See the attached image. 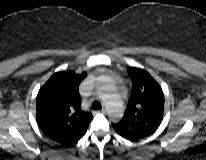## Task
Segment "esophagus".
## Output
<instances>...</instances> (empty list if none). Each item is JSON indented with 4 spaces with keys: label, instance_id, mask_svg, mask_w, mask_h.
I'll return each mask as SVG.
<instances>
[{
    "label": "esophagus",
    "instance_id": "34e87169",
    "mask_svg": "<svg viewBox=\"0 0 206 160\" xmlns=\"http://www.w3.org/2000/svg\"><path fill=\"white\" fill-rule=\"evenodd\" d=\"M99 112L105 114L106 113V109L103 107Z\"/></svg>",
    "mask_w": 206,
    "mask_h": 160
}]
</instances>
